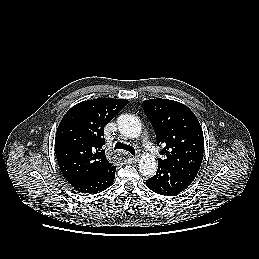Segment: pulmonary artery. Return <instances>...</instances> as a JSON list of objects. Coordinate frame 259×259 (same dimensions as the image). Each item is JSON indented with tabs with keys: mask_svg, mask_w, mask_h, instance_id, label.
Segmentation results:
<instances>
[{
	"mask_svg": "<svg viewBox=\"0 0 259 259\" xmlns=\"http://www.w3.org/2000/svg\"><path fill=\"white\" fill-rule=\"evenodd\" d=\"M142 143L149 151L154 150L147 136L142 137Z\"/></svg>",
	"mask_w": 259,
	"mask_h": 259,
	"instance_id": "1",
	"label": "pulmonary artery"
}]
</instances>
